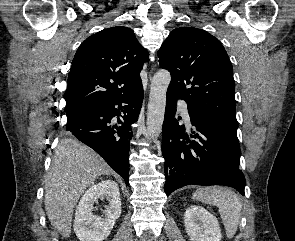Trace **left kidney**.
<instances>
[{
	"instance_id": "5707ae66",
	"label": "left kidney",
	"mask_w": 295,
	"mask_h": 241,
	"mask_svg": "<svg viewBox=\"0 0 295 241\" xmlns=\"http://www.w3.org/2000/svg\"><path fill=\"white\" fill-rule=\"evenodd\" d=\"M184 224L191 241H221L217 218L201 206L192 205L187 208Z\"/></svg>"
}]
</instances>
